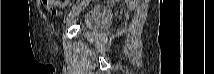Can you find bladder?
I'll list each match as a JSON object with an SVG mask.
<instances>
[{
	"mask_svg": "<svg viewBox=\"0 0 214 74\" xmlns=\"http://www.w3.org/2000/svg\"><path fill=\"white\" fill-rule=\"evenodd\" d=\"M109 20L110 14L107 10L95 7L83 15L81 20V28L86 31L96 32L99 31Z\"/></svg>",
	"mask_w": 214,
	"mask_h": 74,
	"instance_id": "1",
	"label": "bladder"
}]
</instances>
